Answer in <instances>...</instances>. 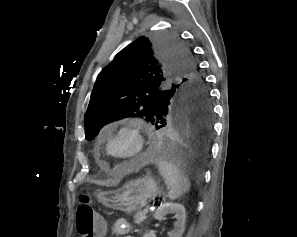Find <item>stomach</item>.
<instances>
[{"label":"stomach","instance_id":"stomach-1","mask_svg":"<svg viewBox=\"0 0 297 237\" xmlns=\"http://www.w3.org/2000/svg\"><path fill=\"white\" fill-rule=\"evenodd\" d=\"M160 194L158 182L147 174L128 181L119 190L98 193L97 198L108 208L131 213L141 210Z\"/></svg>","mask_w":297,"mask_h":237}]
</instances>
